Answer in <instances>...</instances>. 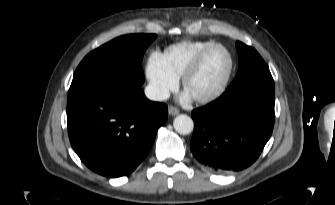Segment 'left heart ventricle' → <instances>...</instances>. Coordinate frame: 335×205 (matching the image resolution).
Returning <instances> with one entry per match:
<instances>
[{
	"label": "left heart ventricle",
	"mask_w": 335,
	"mask_h": 205,
	"mask_svg": "<svg viewBox=\"0 0 335 205\" xmlns=\"http://www.w3.org/2000/svg\"><path fill=\"white\" fill-rule=\"evenodd\" d=\"M229 68L227 53L216 48L207 54L199 70L189 79L186 91L192 97L212 92L223 80Z\"/></svg>",
	"instance_id": "1"
}]
</instances>
